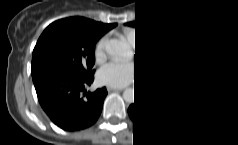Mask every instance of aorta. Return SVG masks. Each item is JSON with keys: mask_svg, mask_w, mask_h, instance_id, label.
Segmentation results:
<instances>
[{"mask_svg": "<svg viewBox=\"0 0 238 145\" xmlns=\"http://www.w3.org/2000/svg\"><path fill=\"white\" fill-rule=\"evenodd\" d=\"M106 51L109 55L113 57H118L122 59H131L133 57V52L130 47L123 41L117 39H111L107 46ZM123 98L128 103L134 102V89L127 88L123 92Z\"/></svg>", "mask_w": 238, "mask_h": 145, "instance_id": "762f6f07", "label": "aorta"}]
</instances>
